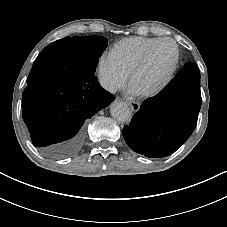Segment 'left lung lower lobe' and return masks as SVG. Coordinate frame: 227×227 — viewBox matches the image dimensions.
<instances>
[{"instance_id":"1","label":"left lung lower lobe","mask_w":227,"mask_h":227,"mask_svg":"<svg viewBox=\"0 0 227 227\" xmlns=\"http://www.w3.org/2000/svg\"><path fill=\"white\" fill-rule=\"evenodd\" d=\"M202 103L200 72L187 63L155 97L147 99L123 129L128 146L146 157L176 151L194 131Z\"/></svg>"}]
</instances>
